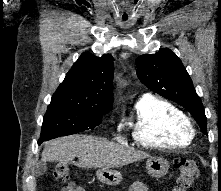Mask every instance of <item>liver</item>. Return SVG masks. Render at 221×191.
I'll use <instances>...</instances> for the list:
<instances>
[{
    "label": "liver",
    "mask_w": 221,
    "mask_h": 191,
    "mask_svg": "<svg viewBox=\"0 0 221 191\" xmlns=\"http://www.w3.org/2000/svg\"><path fill=\"white\" fill-rule=\"evenodd\" d=\"M75 157L78 163L73 161ZM149 157L143 151L87 135H71L48 141L42 152L43 162L58 161L99 169L121 167Z\"/></svg>",
    "instance_id": "6515ba94"
}]
</instances>
